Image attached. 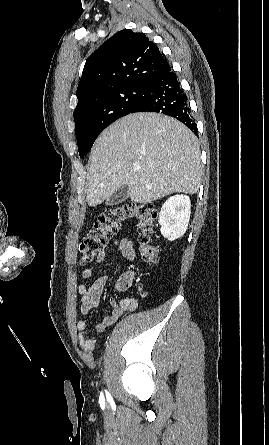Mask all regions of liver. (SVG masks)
Returning a JSON list of instances; mask_svg holds the SVG:
<instances>
[{
    "label": "liver",
    "mask_w": 269,
    "mask_h": 445,
    "mask_svg": "<svg viewBox=\"0 0 269 445\" xmlns=\"http://www.w3.org/2000/svg\"><path fill=\"white\" fill-rule=\"evenodd\" d=\"M88 174L86 200L91 207L124 185L135 203L152 202L175 192L195 194L201 180L199 144L174 118L148 112L130 114L98 137Z\"/></svg>",
    "instance_id": "1"
}]
</instances>
